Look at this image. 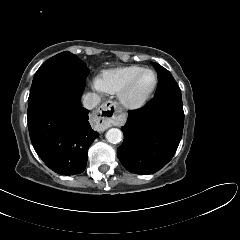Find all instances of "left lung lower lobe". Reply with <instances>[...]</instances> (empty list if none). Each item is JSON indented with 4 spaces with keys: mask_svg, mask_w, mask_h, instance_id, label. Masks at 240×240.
<instances>
[{
    "mask_svg": "<svg viewBox=\"0 0 240 240\" xmlns=\"http://www.w3.org/2000/svg\"><path fill=\"white\" fill-rule=\"evenodd\" d=\"M183 125L181 95L157 96L144 107L128 111L122 127L124 141L117 149L119 160L131 173L158 171L174 156Z\"/></svg>",
    "mask_w": 240,
    "mask_h": 240,
    "instance_id": "obj_1",
    "label": "left lung lower lobe"
}]
</instances>
